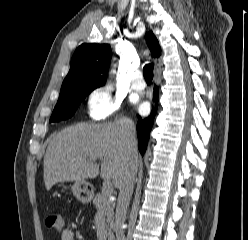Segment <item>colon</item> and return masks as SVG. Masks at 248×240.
I'll return each instance as SVG.
<instances>
[{
	"label": "colon",
	"mask_w": 248,
	"mask_h": 240,
	"mask_svg": "<svg viewBox=\"0 0 248 240\" xmlns=\"http://www.w3.org/2000/svg\"><path fill=\"white\" fill-rule=\"evenodd\" d=\"M45 224L47 227L52 228L56 231L63 229V217L59 213H52L46 217Z\"/></svg>",
	"instance_id": "1"
}]
</instances>
